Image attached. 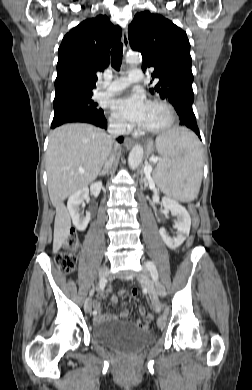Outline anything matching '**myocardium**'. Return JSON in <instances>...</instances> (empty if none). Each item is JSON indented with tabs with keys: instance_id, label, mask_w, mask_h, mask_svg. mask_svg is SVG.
Wrapping results in <instances>:
<instances>
[{
	"instance_id": "myocardium-1",
	"label": "myocardium",
	"mask_w": 252,
	"mask_h": 390,
	"mask_svg": "<svg viewBox=\"0 0 252 390\" xmlns=\"http://www.w3.org/2000/svg\"><path fill=\"white\" fill-rule=\"evenodd\" d=\"M149 104H158V105H161L162 107H164L168 113V119L163 125L156 127V128H149L148 129V128L142 127L141 132L146 133V134H160V133H163V132L169 130L173 126L175 119H176V112H175L173 105L170 104L166 100L158 99V98L150 100Z\"/></svg>"
}]
</instances>
